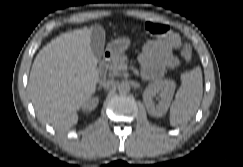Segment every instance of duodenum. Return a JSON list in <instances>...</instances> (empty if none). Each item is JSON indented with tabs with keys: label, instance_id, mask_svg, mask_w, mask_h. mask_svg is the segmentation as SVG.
<instances>
[{
	"label": "duodenum",
	"instance_id": "obj_1",
	"mask_svg": "<svg viewBox=\"0 0 243 167\" xmlns=\"http://www.w3.org/2000/svg\"><path fill=\"white\" fill-rule=\"evenodd\" d=\"M112 56L113 55L111 52H106L104 54L103 60L98 67V75L100 79H103L105 77L107 63L111 60Z\"/></svg>",
	"mask_w": 243,
	"mask_h": 167
}]
</instances>
